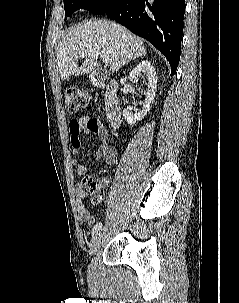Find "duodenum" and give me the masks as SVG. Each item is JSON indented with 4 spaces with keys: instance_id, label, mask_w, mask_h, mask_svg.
<instances>
[{
    "instance_id": "410a0bca",
    "label": "duodenum",
    "mask_w": 239,
    "mask_h": 303,
    "mask_svg": "<svg viewBox=\"0 0 239 303\" xmlns=\"http://www.w3.org/2000/svg\"><path fill=\"white\" fill-rule=\"evenodd\" d=\"M98 85L104 88V105L105 113L109 125L116 129L121 124V107L118 98V83L115 80L99 81L96 80Z\"/></svg>"
}]
</instances>
